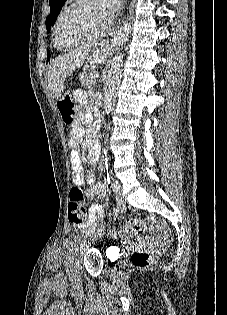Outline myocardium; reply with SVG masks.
I'll return each mask as SVG.
<instances>
[{"label": "myocardium", "instance_id": "obj_1", "mask_svg": "<svg viewBox=\"0 0 227 315\" xmlns=\"http://www.w3.org/2000/svg\"><path fill=\"white\" fill-rule=\"evenodd\" d=\"M90 0H74V2L72 4H70L58 17L55 26H54V31H53V40H54V45L58 48V49H72V48H76L79 47L87 42H91V41H95L97 39H99L100 37H102V35L106 32L108 26H105L102 30H100L98 33H96L95 35H92L90 37H87L85 40L81 41V42H77L74 44H63L61 43L60 39H59V29L61 26V23L63 22V20L70 14L72 13L76 8H78L79 6L89 2Z\"/></svg>", "mask_w": 227, "mask_h": 315}]
</instances>
